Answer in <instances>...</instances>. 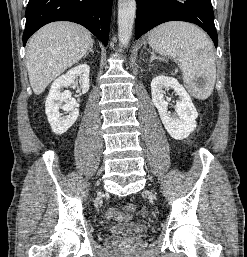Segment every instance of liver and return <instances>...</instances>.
<instances>
[{"instance_id": "obj_1", "label": "liver", "mask_w": 247, "mask_h": 257, "mask_svg": "<svg viewBox=\"0 0 247 257\" xmlns=\"http://www.w3.org/2000/svg\"><path fill=\"white\" fill-rule=\"evenodd\" d=\"M93 42L87 29L68 21L53 22L39 29L30 38L26 51L33 92L41 94L51 81L82 59Z\"/></svg>"}]
</instances>
